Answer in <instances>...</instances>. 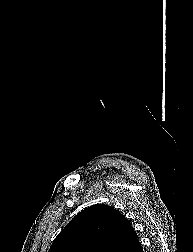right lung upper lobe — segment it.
Wrapping results in <instances>:
<instances>
[{
  "label": "right lung upper lobe",
  "mask_w": 193,
  "mask_h": 252,
  "mask_svg": "<svg viewBox=\"0 0 193 252\" xmlns=\"http://www.w3.org/2000/svg\"><path fill=\"white\" fill-rule=\"evenodd\" d=\"M131 223L111 206L78 213L54 239L49 252H133L139 245Z\"/></svg>",
  "instance_id": "right-lung-upper-lobe-1"
}]
</instances>
